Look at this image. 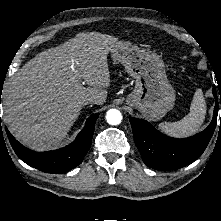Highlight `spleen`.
Instances as JSON below:
<instances>
[{"instance_id": "1", "label": "spleen", "mask_w": 221, "mask_h": 221, "mask_svg": "<svg viewBox=\"0 0 221 221\" xmlns=\"http://www.w3.org/2000/svg\"><path fill=\"white\" fill-rule=\"evenodd\" d=\"M206 103L201 89H197L190 106V112L178 122H164L159 129L172 137H188L199 131L205 120Z\"/></svg>"}]
</instances>
